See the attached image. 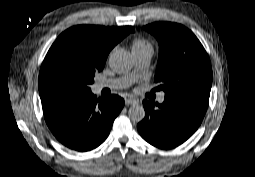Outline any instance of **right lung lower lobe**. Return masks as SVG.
Listing matches in <instances>:
<instances>
[{
    "label": "right lung lower lobe",
    "mask_w": 255,
    "mask_h": 177,
    "mask_svg": "<svg viewBox=\"0 0 255 177\" xmlns=\"http://www.w3.org/2000/svg\"><path fill=\"white\" fill-rule=\"evenodd\" d=\"M41 100L45 121L55 137L81 152L105 141L124 106V100L118 95L99 100L91 91Z\"/></svg>",
    "instance_id": "1"
}]
</instances>
